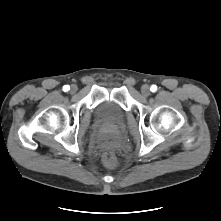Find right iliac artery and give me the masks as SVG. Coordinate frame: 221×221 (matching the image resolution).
<instances>
[{"label": "right iliac artery", "mask_w": 221, "mask_h": 221, "mask_svg": "<svg viewBox=\"0 0 221 221\" xmlns=\"http://www.w3.org/2000/svg\"><path fill=\"white\" fill-rule=\"evenodd\" d=\"M68 90H70L69 85H65V86H63V91L67 92Z\"/></svg>", "instance_id": "obj_1"}]
</instances>
